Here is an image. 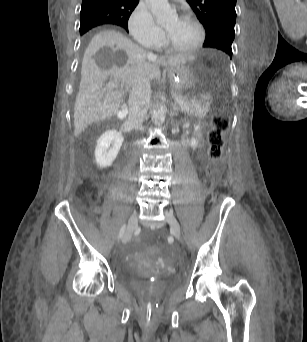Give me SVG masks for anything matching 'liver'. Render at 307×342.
Instances as JSON below:
<instances>
[{"mask_svg":"<svg viewBox=\"0 0 307 342\" xmlns=\"http://www.w3.org/2000/svg\"><path fill=\"white\" fill-rule=\"evenodd\" d=\"M147 52L133 44L126 36L115 30H104L93 36L82 60L81 82L74 110V136L93 124L117 114L120 104L135 82L140 78L159 80V64L176 68L193 60L192 56H171L149 60ZM123 82L125 90L107 88L105 82Z\"/></svg>","mask_w":307,"mask_h":342,"instance_id":"6515ba94","label":"liver"}]
</instances>
